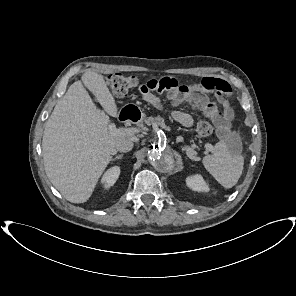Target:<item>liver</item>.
<instances>
[{"mask_svg": "<svg viewBox=\"0 0 296 296\" xmlns=\"http://www.w3.org/2000/svg\"><path fill=\"white\" fill-rule=\"evenodd\" d=\"M57 102L46 122L42 152L45 172L53 186L72 203L92 195L115 152L119 139L136 140L110 132V116L117 106L101 74L88 69ZM104 108L99 109L86 88ZM107 114H106V113Z\"/></svg>", "mask_w": 296, "mask_h": 296, "instance_id": "liver-1", "label": "liver"}]
</instances>
